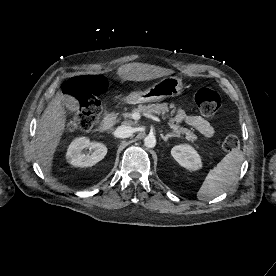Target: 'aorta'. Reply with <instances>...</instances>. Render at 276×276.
I'll use <instances>...</instances> for the list:
<instances>
[{
  "instance_id": "762f6f07",
  "label": "aorta",
  "mask_w": 276,
  "mask_h": 276,
  "mask_svg": "<svg viewBox=\"0 0 276 276\" xmlns=\"http://www.w3.org/2000/svg\"><path fill=\"white\" fill-rule=\"evenodd\" d=\"M144 144L148 148H153L156 145V138L154 135H148L144 139Z\"/></svg>"
}]
</instances>
